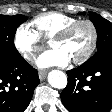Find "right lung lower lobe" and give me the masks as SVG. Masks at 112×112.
Returning a JSON list of instances; mask_svg holds the SVG:
<instances>
[{
  "instance_id": "right-lung-lower-lobe-1",
  "label": "right lung lower lobe",
  "mask_w": 112,
  "mask_h": 112,
  "mask_svg": "<svg viewBox=\"0 0 112 112\" xmlns=\"http://www.w3.org/2000/svg\"><path fill=\"white\" fill-rule=\"evenodd\" d=\"M38 84L37 70L23 57L0 61V112H23Z\"/></svg>"
}]
</instances>
